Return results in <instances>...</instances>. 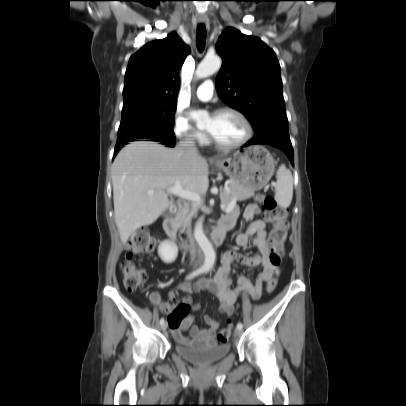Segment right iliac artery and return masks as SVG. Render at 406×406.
Wrapping results in <instances>:
<instances>
[{"instance_id": "right-iliac-artery-1", "label": "right iliac artery", "mask_w": 406, "mask_h": 406, "mask_svg": "<svg viewBox=\"0 0 406 406\" xmlns=\"http://www.w3.org/2000/svg\"><path fill=\"white\" fill-rule=\"evenodd\" d=\"M204 271H205L204 268H199V269L193 271L187 278H188V279L193 278V277H195V276H197V275L203 273ZM164 321H165L164 318H161V319H160V324L162 325V324L164 323Z\"/></svg>"}]
</instances>
